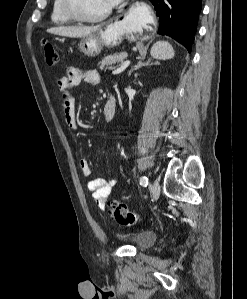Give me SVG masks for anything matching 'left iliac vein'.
I'll use <instances>...</instances> for the list:
<instances>
[{"label": "left iliac vein", "mask_w": 247, "mask_h": 299, "mask_svg": "<svg viewBox=\"0 0 247 299\" xmlns=\"http://www.w3.org/2000/svg\"><path fill=\"white\" fill-rule=\"evenodd\" d=\"M151 191L153 199L157 200L160 195V185L157 180H154V182L152 183Z\"/></svg>", "instance_id": "obj_1"}]
</instances>
